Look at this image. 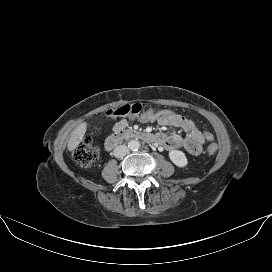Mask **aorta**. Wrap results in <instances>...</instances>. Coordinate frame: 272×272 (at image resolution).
Listing matches in <instances>:
<instances>
[{
    "instance_id": "762f6f07",
    "label": "aorta",
    "mask_w": 272,
    "mask_h": 272,
    "mask_svg": "<svg viewBox=\"0 0 272 272\" xmlns=\"http://www.w3.org/2000/svg\"><path fill=\"white\" fill-rule=\"evenodd\" d=\"M128 148L132 151H137L140 148V142L137 140H131L128 142Z\"/></svg>"
}]
</instances>
